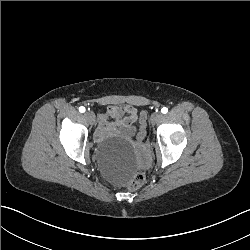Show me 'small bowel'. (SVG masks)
<instances>
[{
	"instance_id": "obj_1",
	"label": "small bowel",
	"mask_w": 250,
	"mask_h": 250,
	"mask_svg": "<svg viewBox=\"0 0 250 250\" xmlns=\"http://www.w3.org/2000/svg\"><path fill=\"white\" fill-rule=\"evenodd\" d=\"M109 118L115 120L109 122ZM136 109L131 105L110 106L100 115L99 125L95 131V139L102 140L106 134L131 138L136 133L134 122Z\"/></svg>"
}]
</instances>
